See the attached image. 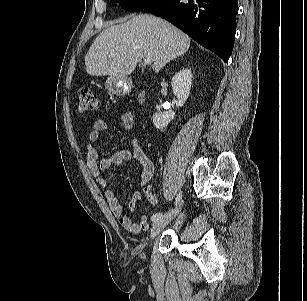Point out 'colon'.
<instances>
[{
	"mask_svg": "<svg viewBox=\"0 0 307 301\" xmlns=\"http://www.w3.org/2000/svg\"><path fill=\"white\" fill-rule=\"evenodd\" d=\"M99 98L90 89H81L77 92V107L80 112H94L99 108Z\"/></svg>",
	"mask_w": 307,
	"mask_h": 301,
	"instance_id": "1",
	"label": "colon"
}]
</instances>
